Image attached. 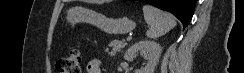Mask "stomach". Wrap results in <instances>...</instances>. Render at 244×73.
Segmentation results:
<instances>
[{
	"mask_svg": "<svg viewBox=\"0 0 244 73\" xmlns=\"http://www.w3.org/2000/svg\"><path fill=\"white\" fill-rule=\"evenodd\" d=\"M66 19L72 25L79 22L90 23L111 35L126 34L136 27L135 22L127 17H108L102 13L81 6L68 9Z\"/></svg>",
	"mask_w": 244,
	"mask_h": 73,
	"instance_id": "stomach-1",
	"label": "stomach"
}]
</instances>
